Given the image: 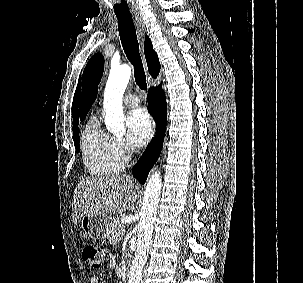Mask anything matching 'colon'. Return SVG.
Wrapping results in <instances>:
<instances>
[{"mask_svg": "<svg viewBox=\"0 0 303 283\" xmlns=\"http://www.w3.org/2000/svg\"><path fill=\"white\" fill-rule=\"evenodd\" d=\"M109 254V248L101 243H87L82 248V258L95 270L103 266Z\"/></svg>", "mask_w": 303, "mask_h": 283, "instance_id": "colon-1", "label": "colon"}]
</instances>
